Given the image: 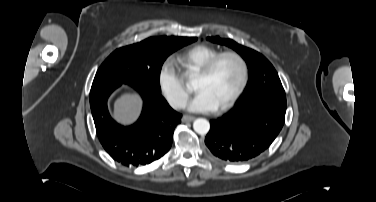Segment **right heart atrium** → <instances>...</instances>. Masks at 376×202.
Masks as SVG:
<instances>
[{"instance_id": "right-heart-atrium-1", "label": "right heart atrium", "mask_w": 376, "mask_h": 202, "mask_svg": "<svg viewBox=\"0 0 376 202\" xmlns=\"http://www.w3.org/2000/svg\"><path fill=\"white\" fill-rule=\"evenodd\" d=\"M158 87L173 108L184 106L188 93L179 71L169 59L162 62L157 74Z\"/></svg>"}]
</instances>
